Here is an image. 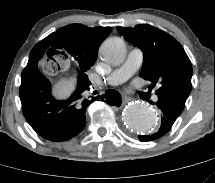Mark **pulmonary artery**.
I'll list each match as a JSON object with an SVG mask.
<instances>
[{"label":"pulmonary artery","mask_w":215,"mask_h":183,"mask_svg":"<svg viewBox=\"0 0 215 183\" xmlns=\"http://www.w3.org/2000/svg\"><path fill=\"white\" fill-rule=\"evenodd\" d=\"M143 52L139 48L132 49L124 64L114 70L106 79L105 82L109 85H119L128 80L142 65ZM157 100V96H153Z\"/></svg>","instance_id":"obj_1"}]
</instances>
